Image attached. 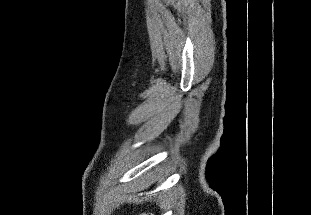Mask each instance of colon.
<instances>
[{
  "instance_id": "colon-1",
  "label": "colon",
  "mask_w": 311,
  "mask_h": 215,
  "mask_svg": "<svg viewBox=\"0 0 311 215\" xmlns=\"http://www.w3.org/2000/svg\"><path fill=\"white\" fill-rule=\"evenodd\" d=\"M140 215H152V214H148V213H143V214H140Z\"/></svg>"
}]
</instances>
